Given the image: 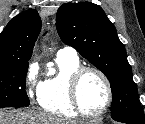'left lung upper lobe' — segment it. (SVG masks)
Masks as SVG:
<instances>
[{
	"label": "left lung upper lobe",
	"instance_id": "left-lung-upper-lobe-1",
	"mask_svg": "<svg viewBox=\"0 0 145 124\" xmlns=\"http://www.w3.org/2000/svg\"><path fill=\"white\" fill-rule=\"evenodd\" d=\"M56 27L66 45L74 47L109 79L112 118L145 124L125 47L102 8L90 2L65 3L58 9Z\"/></svg>",
	"mask_w": 145,
	"mask_h": 124
}]
</instances>
